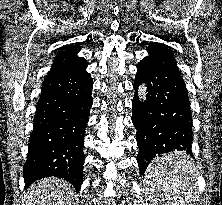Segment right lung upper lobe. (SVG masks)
<instances>
[{"mask_svg": "<svg viewBox=\"0 0 222 205\" xmlns=\"http://www.w3.org/2000/svg\"><path fill=\"white\" fill-rule=\"evenodd\" d=\"M79 50L78 45H72L63 51H59L54 58L52 68L47 77L71 73L86 68L87 61L83 57L76 56Z\"/></svg>", "mask_w": 222, "mask_h": 205, "instance_id": "cb5924a9", "label": "right lung upper lobe"}]
</instances>
